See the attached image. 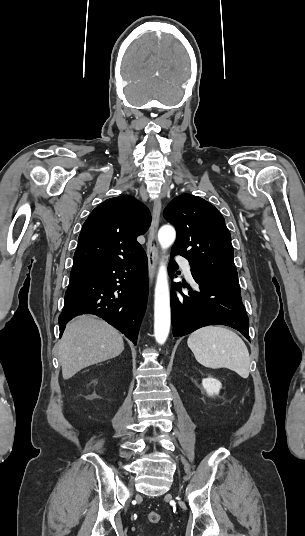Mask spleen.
<instances>
[{
  "label": "spleen",
  "instance_id": "3e777b00",
  "mask_svg": "<svg viewBox=\"0 0 305 536\" xmlns=\"http://www.w3.org/2000/svg\"><path fill=\"white\" fill-rule=\"evenodd\" d=\"M197 362L205 368H228L248 378L249 352L241 338L223 326H206L193 332L187 340Z\"/></svg>",
  "mask_w": 305,
  "mask_h": 536
}]
</instances>
